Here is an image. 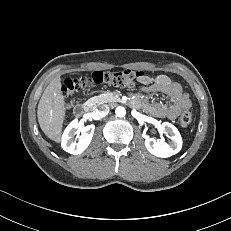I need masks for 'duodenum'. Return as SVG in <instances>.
Here are the masks:
<instances>
[{"label": "duodenum", "mask_w": 231, "mask_h": 231, "mask_svg": "<svg viewBox=\"0 0 231 231\" xmlns=\"http://www.w3.org/2000/svg\"><path fill=\"white\" fill-rule=\"evenodd\" d=\"M91 109L92 108L89 104H80L75 107L74 114L76 117H82L85 114L89 113Z\"/></svg>", "instance_id": "1"}]
</instances>
